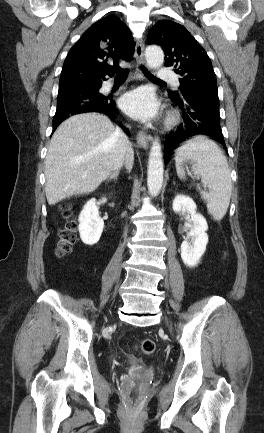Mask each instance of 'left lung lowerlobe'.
<instances>
[{
    "instance_id": "obj_1",
    "label": "left lung lower lobe",
    "mask_w": 264,
    "mask_h": 433,
    "mask_svg": "<svg viewBox=\"0 0 264 433\" xmlns=\"http://www.w3.org/2000/svg\"><path fill=\"white\" fill-rule=\"evenodd\" d=\"M169 97L181 109L184 124L166 136L165 163L180 143L195 135L208 136L226 148L220 127L218 95L205 91H190L180 96L169 94Z\"/></svg>"
}]
</instances>
